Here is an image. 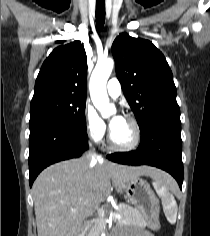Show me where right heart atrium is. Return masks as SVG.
<instances>
[{"label": "right heart atrium", "instance_id": "obj_1", "mask_svg": "<svg viewBox=\"0 0 210 236\" xmlns=\"http://www.w3.org/2000/svg\"><path fill=\"white\" fill-rule=\"evenodd\" d=\"M84 130L93 142H101L106 133V126L95 109L87 104L83 113Z\"/></svg>", "mask_w": 210, "mask_h": 236}]
</instances>
